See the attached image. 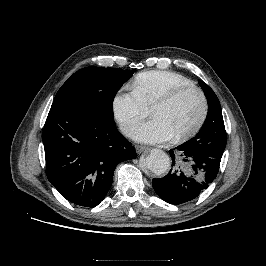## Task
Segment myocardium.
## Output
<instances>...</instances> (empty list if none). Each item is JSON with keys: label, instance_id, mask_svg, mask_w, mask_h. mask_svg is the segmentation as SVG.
I'll return each instance as SVG.
<instances>
[{"label": "myocardium", "instance_id": "myocardium-1", "mask_svg": "<svg viewBox=\"0 0 266 266\" xmlns=\"http://www.w3.org/2000/svg\"><path fill=\"white\" fill-rule=\"evenodd\" d=\"M190 91H195L200 96L201 104H202L201 113L196 123L190 129L174 136L175 140L177 141L186 140L192 137L201 129V127L205 123V120L208 114V108H209L208 99H207L205 92L200 87L193 85V84L180 86V87H177L169 91L164 96L159 98L151 107V113H153V111L156 108L169 105L173 103L175 100H177L181 95L187 92H190Z\"/></svg>", "mask_w": 266, "mask_h": 266}]
</instances>
